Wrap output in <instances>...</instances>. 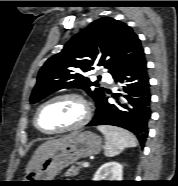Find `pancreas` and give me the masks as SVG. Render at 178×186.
Segmentation results:
<instances>
[{
    "label": "pancreas",
    "instance_id": "1",
    "mask_svg": "<svg viewBox=\"0 0 178 186\" xmlns=\"http://www.w3.org/2000/svg\"><path fill=\"white\" fill-rule=\"evenodd\" d=\"M83 162H78L76 165H72L64 174L65 177L77 176L82 169Z\"/></svg>",
    "mask_w": 178,
    "mask_h": 186
}]
</instances>
